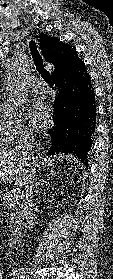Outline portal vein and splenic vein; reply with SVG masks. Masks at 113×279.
Returning <instances> with one entry per match:
<instances>
[{
  "instance_id": "18ae733b",
  "label": "portal vein and splenic vein",
  "mask_w": 113,
  "mask_h": 279,
  "mask_svg": "<svg viewBox=\"0 0 113 279\" xmlns=\"http://www.w3.org/2000/svg\"><path fill=\"white\" fill-rule=\"evenodd\" d=\"M14 190L19 192V190H18V189H14ZM21 196L23 197V195H21Z\"/></svg>"
}]
</instances>
